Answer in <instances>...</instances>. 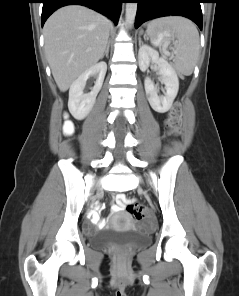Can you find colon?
<instances>
[{
  "label": "colon",
  "mask_w": 239,
  "mask_h": 296,
  "mask_svg": "<svg viewBox=\"0 0 239 296\" xmlns=\"http://www.w3.org/2000/svg\"><path fill=\"white\" fill-rule=\"evenodd\" d=\"M182 125V110L179 102H176L168 113L166 126L170 134H178ZM67 132H71L72 124L66 122ZM127 212L136 220L150 217L148 209L139 203L129 202L126 206Z\"/></svg>",
  "instance_id": "1"
}]
</instances>
